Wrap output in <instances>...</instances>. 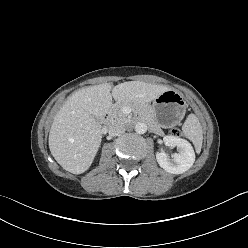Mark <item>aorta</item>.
Instances as JSON below:
<instances>
[{
	"label": "aorta",
	"instance_id": "762f6f07",
	"mask_svg": "<svg viewBox=\"0 0 248 248\" xmlns=\"http://www.w3.org/2000/svg\"><path fill=\"white\" fill-rule=\"evenodd\" d=\"M147 131V125L143 122H138L136 125H135V132L137 134H144L146 133Z\"/></svg>",
	"mask_w": 248,
	"mask_h": 248
}]
</instances>
